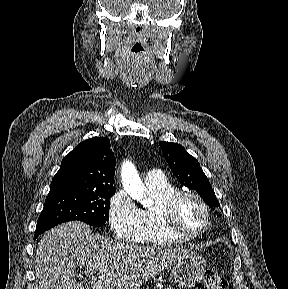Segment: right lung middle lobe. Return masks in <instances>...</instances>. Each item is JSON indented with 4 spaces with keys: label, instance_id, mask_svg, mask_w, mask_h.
<instances>
[{
    "label": "right lung middle lobe",
    "instance_id": "1",
    "mask_svg": "<svg viewBox=\"0 0 288 289\" xmlns=\"http://www.w3.org/2000/svg\"><path fill=\"white\" fill-rule=\"evenodd\" d=\"M115 189L84 191L60 189L50 191L36 226V233L62 222L80 220L92 226H103L109 220V198Z\"/></svg>",
    "mask_w": 288,
    "mask_h": 289
}]
</instances>
